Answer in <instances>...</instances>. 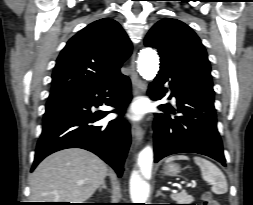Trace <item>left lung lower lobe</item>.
<instances>
[{
    "mask_svg": "<svg viewBox=\"0 0 253 205\" xmlns=\"http://www.w3.org/2000/svg\"><path fill=\"white\" fill-rule=\"evenodd\" d=\"M169 82L172 96L177 99V112L168 104L158 109L165 114H156L154 121L155 162L176 153L192 152L209 156L225 166L222 141L217 130L214 94L204 90L192 79L176 70L172 65L161 62L160 70L149 95L153 100L164 97L160 91ZM179 114L171 118L169 114Z\"/></svg>",
    "mask_w": 253,
    "mask_h": 205,
    "instance_id": "left-lung-lower-lobe-1",
    "label": "left lung lower lobe"
}]
</instances>
